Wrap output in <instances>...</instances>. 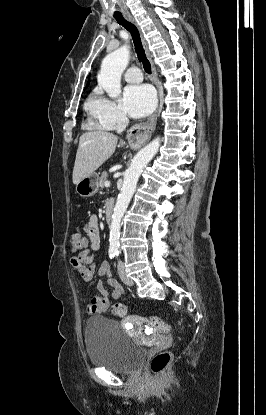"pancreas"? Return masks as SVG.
<instances>
[{
    "label": "pancreas",
    "mask_w": 266,
    "mask_h": 415,
    "mask_svg": "<svg viewBox=\"0 0 266 415\" xmlns=\"http://www.w3.org/2000/svg\"><path fill=\"white\" fill-rule=\"evenodd\" d=\"M107 177H108V174H107L106 171H104L101 174V177L99 178V181H98V185H99L100 188H103L104 182L107 180Z\"/></svg>",
    "instance_id": "1"
}]
</instances>
